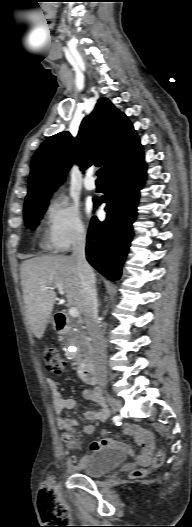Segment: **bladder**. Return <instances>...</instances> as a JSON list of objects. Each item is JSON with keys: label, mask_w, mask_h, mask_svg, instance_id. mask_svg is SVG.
<instances>
[{"label": "bladder", "mask_w": 192, "mask_h": 527, "mask_svg": "<svg viewBox=\"0 0 192 527\" xmlns=\"http://www.w3.org/2000/svg\"><path fill=\"white\" fill-rule=\"evenodd\" d=\"M125 459L126 454L118 448H95L80 459L77 469L87 477L98 478L114 471Z\"/></svg>", "instance_id": "1"}]
</instances>
